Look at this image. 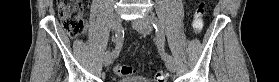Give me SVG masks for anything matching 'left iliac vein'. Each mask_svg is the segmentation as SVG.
Listing matches in <instances>:
<instances>
[{
    "instance_id": "1",
    "label": "left iliac vein",
    "mask_w": 279,
    "mask_h": 82,
    "mask_svg": "<svg viewBox=\"0 0 279 82\" xmlns=\"http://www.w3.org/2000/svg\"><path fill=\"white\" fill-rule=\"evenodd\" d=\"M132 26L141 34L148 35L152 31V25L148 21V18H138L132 21ZM167 69L174 73L176 71V66L173 60L166 61Z\"/></svg>"
}]
</instances>
